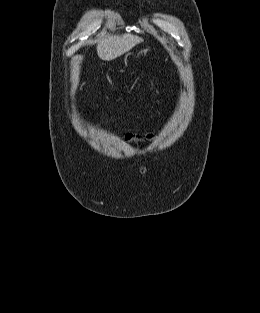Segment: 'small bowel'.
<instances>
[{"label":"small bowel","mask_w":260,"mask_h":313,"mask_svg":"<svg viewBox=\"0 0 260 313\" xmlns=\"http://www.w3.org/2000/svg\"><path fill=\"white\" fill-rule=\"evenodd\" d=\"M122 141L125 144L131 145H147L153 141V134H126L122 137Z\"/></svg>","instance_id":"obj_1"}]
</instances>
